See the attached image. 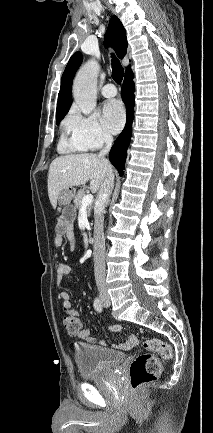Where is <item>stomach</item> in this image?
<instances>
[{"instance_id": "stomach-1", "label": "stomach", "mask_w": 213, "mask_h": 433, "mask_svg": "<svg viewBox=\"0 0 213 433\" xmlns=\"http://www.w3.org/2000/svg\"><path fill=\"white\" fill-rule=\"evenodd\" d=\"M74 196V190L66 188L59 194L58 201L60 205L69 206Z\"/></svg>"}]
</instances>
